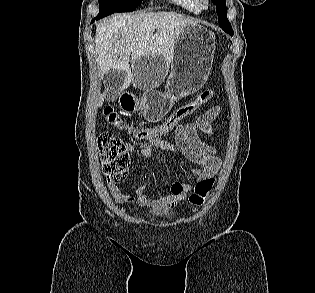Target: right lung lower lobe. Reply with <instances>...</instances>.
Returning <instances> with one entry per match:
<instances>
[{
	"instance_id": "right-lung-lower-lobe-1",
	"label": "right lung lower lobe",
	"mask_w": 315,
	"mask_h": 293,
	"mask_svg": "<svg viewBox=\"0 0 315 293\" xmlns=\"http://www.w3.org/2000/svg\"><path fill=\"white\" fill-rule=\"evenodd\" d=\"M109 14H112V13H99L93 20H92V23L95 21V20H99L100 18H103Z\"/></svg>"
}]
</instances>
